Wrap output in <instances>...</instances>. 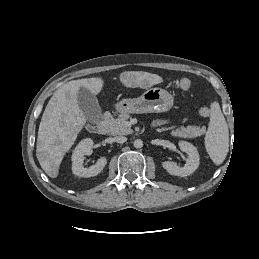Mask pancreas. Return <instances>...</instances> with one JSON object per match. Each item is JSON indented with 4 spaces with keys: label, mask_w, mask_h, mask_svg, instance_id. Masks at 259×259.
Segmentation results:
<instances>
[{
    "label": "pancreas",
    "mask_w": 259,
    "mask_h": 259,
    "mask_svg": "<svg viewBox=\"0 0 259 259\" xmlns=\"http://www.w3.org/2000/svg\"><path fill=\"white\" fill-rule=\"evenodd\" d=\"M129 118L128 114H122L119 118L115 119L112 115H108L104 121L108 133L111 135H127L133 133L132 129L127 127L125 122ZM205 133V128L200 126H181L180 128L172 131V135L180 137H198Z\"/></svg>",
    "instance_id": "1"
}]
</instances>
